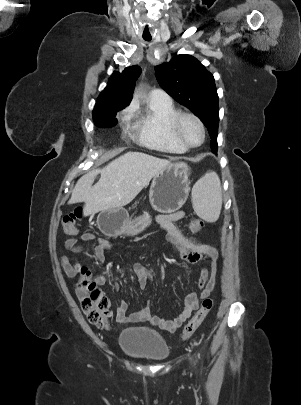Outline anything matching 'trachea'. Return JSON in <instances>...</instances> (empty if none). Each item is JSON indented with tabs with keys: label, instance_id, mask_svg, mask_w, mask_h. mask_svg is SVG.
Here are the masks:
<instances>
[{
	"label": "trachea",
	"instance_id": "obj_1",
	"mask_svg": "<svg viewBox=\"0 0 301 405\" xmlns=\"http://www.w3.org/2000/svg\"><path fill=\"white\" fill-rule=\"evenodd\" d=\"M145 41H151V37H144Z\"/></svg>",
	"mask_w": 301,
	"mask_h": 405
}]
</instances>
